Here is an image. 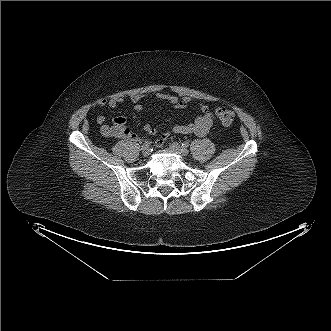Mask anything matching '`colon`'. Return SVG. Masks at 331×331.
<instances>
[{"mask_svg": "<svg viewBox=\"0 0 331 331\" xmlns=\"http://www.w3.org/2000/svg\"><path fill=\"white\" fill-rule=\"evenodd\" d=\"M215 114L219 121L225 126H230L234 122V112L225 106L216 108Z\"/></svg>", "mask_w": 331, "mask_h": 331, "instance_id": "5ec220e1", "label": "colon"}]
</instances>
